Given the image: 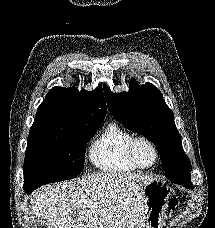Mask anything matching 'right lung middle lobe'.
<instances>
[{"instance_id": "right-lung-middle-lobe-1", "label": "right lung middle lobe", "mask_w": 215, "mask_h": 228, "mask_svg": "<svg viewBox=\"0 0 215 228\" xmlns=\"http://www.w3.org/2000/svg\"><path fill=\"white\" fill-rule=\"evenodd\" d=\"M101 126L73 124L30 133L24 161V189L77 177L83 170L86 144Z\"/></svg>"}]
</instances>
